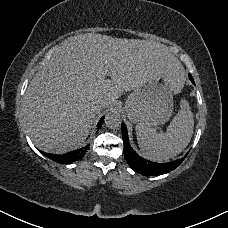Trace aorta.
Listing matches in <instances>:
<instances>
[{
  "label": "aorta",
  "instance_id": "obj_1",
  "mask_svg": "<svg viewBox=\"0 0 228 228\" xmlns=\"http://www.w3.org/2000/svg\"><path fill=\"white\" fill-rule=\"evenodd\" d=\"M105 124L110 129H117L121 126V118L118 113L109 112L105 117Z\"/></svg>",
  "mask_w": 228,
  "mask_h": 228
}]
</instances>
